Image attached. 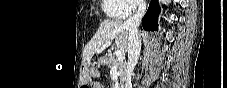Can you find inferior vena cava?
Here are the masks:
<instances>
[{
	"mask_svg": "<svg viewBox=\"0 0 227 88\" xmlns=\"http://www.w3.org/2000/svg\"><path fill=\"white\" fill-rule=\"evenodd\" d=\"M146 11V2L141 0L138 3V10L124 22V26L129 32L128 42V65L125 76V88H132L131 76L138 62L141 51V40L138 33V26Z\"/></svg>",
	"mask_w": 227,
	"mask_h": 88,
	"instance_id": "obj_1",
	"label": "inferior vena cava"
}]
</instances>
